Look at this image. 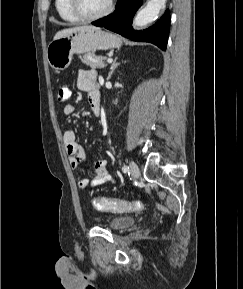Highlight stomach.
Here are the masks:
<instances>
[{
    "label": "stomach",
    "instance_id": "0dacf381",
    "mask_svg": "<svg viewBox=\"0 0 243 289\" xmlns=\"http://www.w3.org/2000/svg\"><path fill=\"white\" fill-rule=\"evenodd\" d=\"M121 45V38L115 34L101 29L82 28L53 40L47 48V59L54 70L63 71L70 65L74 53H92Z\"/></svg>",
    "mask_w": 243,
    "mask_h": 289
}]
</instances>
